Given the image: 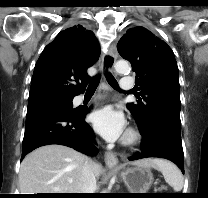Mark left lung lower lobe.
<instances>
[{"label":"left lung lower lobe","instance_id":"left-lung-lower-lobe-1","mask_svg":"<svg viewBox=\"0 0 208 198\" xmlns=\"http://www.w3.org/2000/svg\"><path fill=\"white\" fill-rule=\"evenodd\" d=\"M141 135L143 137L141 152L136 153L129 160L146 157L165 158L175 163L184 173L181 128L167 120H156Z\"/></svg>","mask_w":208,"mask_h":198}]
</instances>
